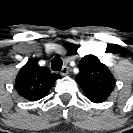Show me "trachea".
<instances>
[{
    "label": "trachea",
    "instance_id": "3493384b",
    "mask_svg": "<svg viewBox=\"0 0 133 133\" xmlns=\"http://www.w3.org/2000/svg\"><path fill=\"white\" fill-rule=\"evenodd\" d=\"M51 68L53 71H60L62 68V60L60 57H54L52 60Z\"/></svg>",
    "mask_w": 133,
    "mask_h": 133
}]
</instances>
